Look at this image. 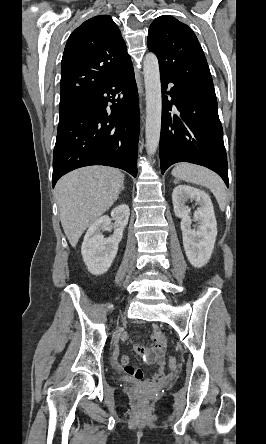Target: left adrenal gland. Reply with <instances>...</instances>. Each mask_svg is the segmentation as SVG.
Wrapping results in <instances>:
<instances>
[{
    "instance_id": "obj_1",
    "label": "left adrenal gland",
    "mask_w": 266,
    "mask_h": 444,
    "mask_svg": "<svg viewBox=\"0 0 266 444\" xmlns=\"http://www.w3.org/2000/svg\"><path fill=\"white\" fill-rule=\"evenodd\" d=\"M174 183L176 184V183H177V181H176V180H174Z\"/></svg>"
}]
</instances>
